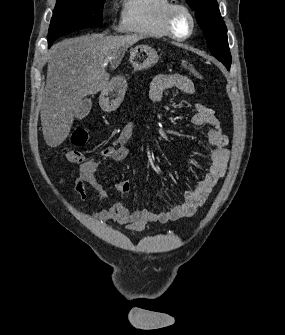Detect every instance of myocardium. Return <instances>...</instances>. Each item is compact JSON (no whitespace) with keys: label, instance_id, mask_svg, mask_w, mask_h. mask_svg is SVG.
Masks as SVG:
<instances>
[{"label":"myocardium","instance_id":"f54148a6","mask_svg":"<svg viewBox=\"0 0 285 335\" xmlns=\"http://www.w3.org/2000/svg\"><path fill=\"white\" fill-rule=\"evenodd\" d=\"M186 18H189L191 22V18L185 7H183L182 5L173 6L170 9L168 16H167V23H168V28H169L170 33L175 36L176 35L175 31L177 30V27Z\"/></svg>","mask_w":285,"mask_h":335}]
</instances>
